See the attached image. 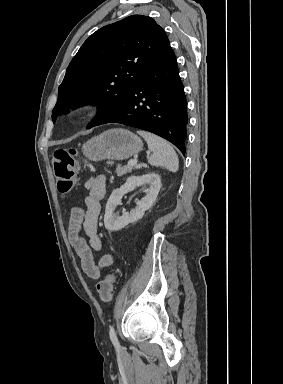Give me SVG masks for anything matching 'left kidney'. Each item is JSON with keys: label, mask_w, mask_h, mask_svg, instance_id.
<instances>
[{"label": "left kidney", "mask_w": 283, "mask_h": 384, "mask_svg": "<svg viewBox=\"0 0 283 384\" xmlns=\"http://www.w3.org/2000/svg\"><path fill=\"white\" fill-rule=\"evenodd\" d=\"M146 184L148 190H144L146 196L137 202L135 210H131L130 214L123 212L122 216L114 214L115 208L121 204L122 196L127 192H132L137 186ZM161 188V180L158 174H145V176H130L126 180L124 186L113 190L107 204L104 216V226L108 232H118L128 224H134L143 218L146 210L153 206Z\"/></svg>", "instance_id": "obj_1"}]
</instances>
